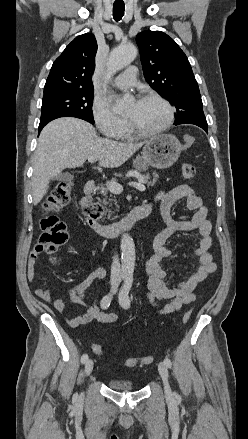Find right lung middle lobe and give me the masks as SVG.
I'll use <instances>...</instances> for the list:
<instances>
[{
    "label": "right lung middle lobe",
    "instance_id": "right-lung-middle-lobe-1",
    "mask_svg": "<svg viewBox=\"0 0 248 439\" xmlns=\"http://www.w3.org/2000/svg\"><path fill=\"white\" fill-rule=\"evenodd\" d=\"M93 89H75L43 96L40 123L59 117H78L94 124Z\"/></svg>",
    "mask_w": 248,
    "mask_h": 439
}]
</instances>
